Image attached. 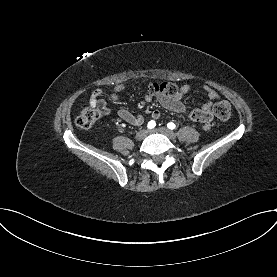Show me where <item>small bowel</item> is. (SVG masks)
Wrapping results in <instances>:
<instances>
[{
    "label": "small bowel",
    "mask_w": 277,
    "mask_h": 277,
    "mask_svg": "<svg viewBox=\"0 0 277 277\" xmlns=\"http://www.w3.org/2000/svg\"><path fill=\"white\" fill-rule=\"evenodd\" d=\"M202 88L207 94L208 101L200 109L196 110L187 108L182 102V97L191 89L190 85L188 84L181 86L173 96L157 95L156 99L165 109L183 114L191 120L202 122L204 123V129H208L212 119V106L214 101L219 99V94L209 85H203ZM124 90L125 86L123 84L116 85L110 94V99L113 102H118L120 100V95ZM101 95V89L94 90L90 97V106L92 108L99 109V111L104 115H110L112 111L105 104L101 98ZM151 99L152 98L149 94H146L144 97L146 103L151 102ZM117 114L123 121L131 125L139 126L144 122V117L141 114H133L124 108L119 109ZM151 117L153 120H158L161 117V112L159 110H154L151 113Z\"/></svg>",
    "instance_id": "c3829d8e"
}]
</instances>
